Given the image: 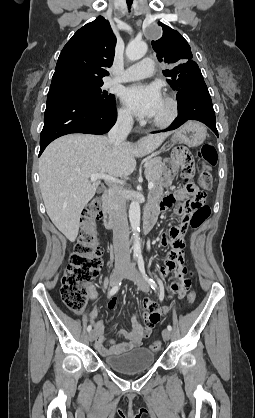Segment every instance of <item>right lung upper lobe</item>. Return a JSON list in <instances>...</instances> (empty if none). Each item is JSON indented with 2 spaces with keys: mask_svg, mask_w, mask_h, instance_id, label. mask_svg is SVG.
Listing matches in <instances>:
<instances>
[{
  "mask_svg": "<svg viewBox=\"0 0 255 418\" xmlns=\"http://www.w3.org/2000/svg\"><path fill=\"white\" fill-rule=\"evenodd\" d=\"M116 37L102 16L80 28L62 49L51 86L71 82H103L113 63Z\"/></svg>",
  "mask_w": 255,
  "mask_h": 418,
  "instance_id": "obj_1",
  "label": "right lung upper lobe"
}]
</instances>
